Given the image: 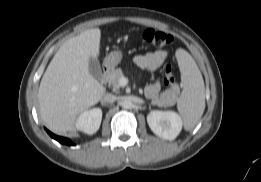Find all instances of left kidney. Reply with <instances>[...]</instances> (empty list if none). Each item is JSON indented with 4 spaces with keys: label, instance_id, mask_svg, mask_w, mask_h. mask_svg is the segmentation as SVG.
<instances>
[{
    "label": "left kidney",
    "instance_id": "left-kidney-1",
    "mask_svg": "<svg viewBox=\"0 0 261 182\" xmlns=\"http://www.w3.org/2000/svg\"><path fill=\"white\" fill-rule=\"evenodd\" d=\"M147 122L154 134L166 140H174L183 125L181 117L174 111L153 110L147 115Z\"/></svg>",
    "mask_w": 261,
    "mask_h": 182
}]
</instances>
